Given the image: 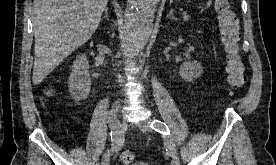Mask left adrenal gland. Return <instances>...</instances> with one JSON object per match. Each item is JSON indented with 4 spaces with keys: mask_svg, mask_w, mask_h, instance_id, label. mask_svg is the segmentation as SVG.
Listing matches in <instances>:
<instances>
[{
    "mask_svg": "<svg viewBox=\"0 0 276 165\" xmlns=\"http://www.w3.org/2000/svg\"><path fill=\"white\" fill-rule=\"evenodd\" d=\"M167 17H170L171 19L175 20L176 18L173 15V12H169V14L167 15Z\"/></svg>",
    "mask_w": 276,
    "mask_h": 165,
    "instance_id": "1",
    "label": "left adrenal gland"
}]
</instances>
